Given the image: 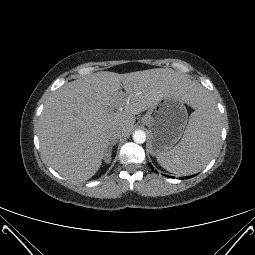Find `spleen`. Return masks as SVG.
<instances>
[{
    "mask_svg": "<svg viewBox=\"0 0 255 255\" xmlns=\"http://www.w3.org/2000/svg\"><path fill=\"white\" fill-rule=\"evenodd\" d=\"M196 108L181 141L157 156V162L171 173L189 175L200 171L212 159L218 146L221 123L216 104L205 94Z\"/></svg>",
    "mask_w": 255,
    "mask_h": 255,
    "instance_id": "obj_1",
    "label": "spleen"
}]
</instances>
